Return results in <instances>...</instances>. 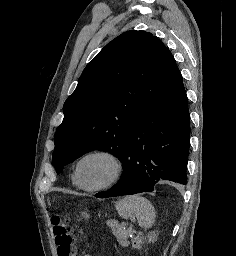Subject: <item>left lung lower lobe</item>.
I'll list each match as a JSON object with an SVG mask.
<instances>
[{
  "label": "left lung lower lobe",
  "mask_w": 236,
  "mask_h": 256,
  "mask_svg": "<svg viewBox=\"0 0 236 256\" xmlns=\"http://www.w3.org/2000/svg\"><path fill=\"white\" fill-rule=\"evenodd\" d=\"M190 116L182 82L152 105L132 129L121 160L124 171L98 198L151 192L160 180L187 183Z\"/></svg>",
  "instance_id": "0a47b994"
}]
</instances>
